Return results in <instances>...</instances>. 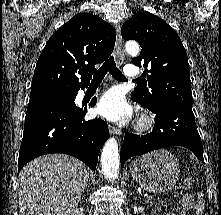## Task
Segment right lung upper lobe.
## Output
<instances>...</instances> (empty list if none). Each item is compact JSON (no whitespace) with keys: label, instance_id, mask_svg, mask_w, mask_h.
Wrapping results in <instances>:
<instances>
[{"label":"right lung upper lobe","instance_id":"cb5924a9","mask_svg":"<svg viewBox=\"0 0 221 215\" xmlns=\"http://www.w3.org/2000/svg\"><path fill=\"white\" fill-rule=\"evenodd\" d=\"M116 40L113 27L96 15L79 13L59 28L40 54L30 101L87 87L95 64L106 60Z\"/></svg>","mask_w":221,"mask_h":215}]
</instances>
